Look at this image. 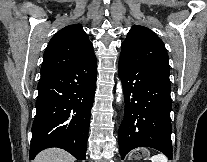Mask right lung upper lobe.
Returning <instances> with one entry per match:
<instances>
[{"label":"right lung upper lobe","instance_id":"right-lung-upper-lobe-1","mask_svg":"<svg viewBox=\"0 0 207 162\" xmlns=\"http://www.w3.org/2000/svg\"><path fill=\"white\" fill-rule=\"evenodd\" d=\"M95 58L93 46L80 25H69L50 40L43 57L41 76Z\"/></svg>","mask_w":207,"mask_h":162}]
</instances>
